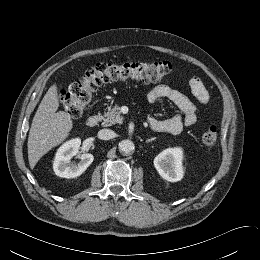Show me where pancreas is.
<instances>
[{
	"label": "pancreas",
	"instance_id": "obj_1",
	"mask_svg": "<svg viewBox=\"0 0 260 260\" xmlns=\"http://www.w3.org/2000/svg\"><path fill=\"white\" fill-rule=\"evenodd\" d=\"M101 119L103 120V125L106 127L117 123L121 124L123 117L121 115L120 106L115 105L112 109H108V111L101 116Z\"/></svg>",
	"mask_w": 260,
	"mask_h": 260
}]
</instances>
